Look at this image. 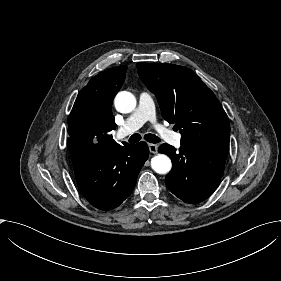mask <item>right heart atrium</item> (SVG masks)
Listing matches in <instances>:
<instances>
[{
    "label": "right heart atrium",
    "instance_id": "d8ad5b80",
    "mask_svg": "<svg viewBox=\"0 0 281 281\" xmlns=\"http://www.w3.org/2000/svg\"><path fill=\"white\" fill-rule=\"evenodd\" d=\"M116 107H121L122 109H128L130 104V95L125 92H120L117 94L115 99Z\"/></svg>",
    "mask_w": 281,
    "mask_h": 281
}]
</instances>
